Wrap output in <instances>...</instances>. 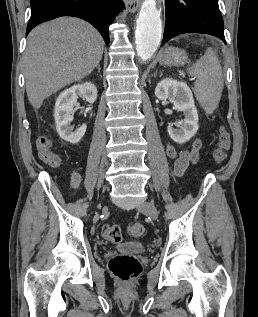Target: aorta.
Segmentation results:
<instances>
[{
	"label": "aorta",
	"instance_id": "aorta-1",
	"mask_svg": "<svg viewBox=\"0 0 258 317\" xmlns=\"http://www.w3.org/2000/svg\"><path fill=\"white\" fill-rule=\"evenodd\" d=\"M135 30L137 56L149 60L156 52L162 36V21L156 0H145L142 3Z\"/></svg>",
	"mask_w": 258,
	"mask_h": 317
}]
</instances>
